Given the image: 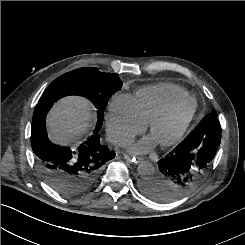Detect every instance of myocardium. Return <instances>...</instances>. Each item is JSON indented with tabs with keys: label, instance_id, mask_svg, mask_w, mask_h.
I'll use <instances>...</instances> for the list:
<instances>
[{
	"label": "myocardium",
	"instance_id": "obj_1",
	"mask_svg": "<svg viewBox=\"0 0 245 245\" xmlns=\"http://www.w3.org/2000/svg\"><path fill=\"white\" fill-rule=\"evenodd\" d=\"M187 104H192V109H191L189 115L184 120V122L181 124V126L176 131V133L170 139H168L166 141L158 142V144L162 148L172 147V146L178 144L182 140V138L184 137V135L187 132L188 128L190 127L192 121L195 118V115H196V112H197V108H198L197 101L192 96H189V97H187L185 99L179 100V101L171 104L167 108H165L163 111H161L159 114L154 116L149 121L148 130H149V133L152 134L157 125H159L160 123H162V122L168 120L169 118H171L178 110H180L182 107H184Z\"/></svg>",
	"mask_w": 245,
	"mask_h": 245
}]
</instances>
